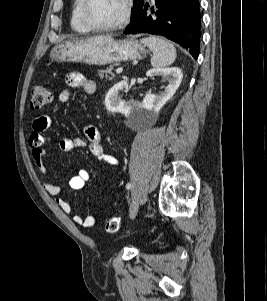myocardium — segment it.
<instances>
[{
    "label": "myocardium",
    "mask_w": 267,
    "mask_h": 301,
    "mask_svg": "<svg viewBox=\"0 0 267 301\" xmlns=\"http://www.w3.org/2000/svg\"><path fill=\"white\" fill-rule=\"evenodd\" d=\"M123 3H124L123 13L117 22L108 25H99L96 24L89 15L91 0H83V4H82L83 20L90 29L95 31L110 32V31L118 30L124 27L129 22L132 13V6H133L132 0H123Z\"/></svg>",
    "instance_id": "myocardium-1"
}]
</instances>
